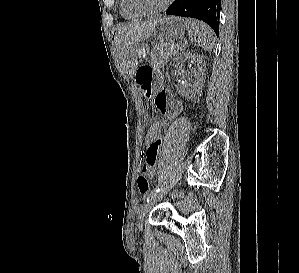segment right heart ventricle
I'll return each mask as SVG.
<instances>
[{
    "mask_svg": "<svg viewBox=\"0 0 299 273\" xmlns=\"http://www.w3.org/2000/svg\"><path fill=\"white\" fill-rule=\"evenodd\" d=\"M120 14L126 20H136L140 17L127 10L124 0H120Z\"/></svg>",
    "mask_w": 299,
    "mask_h": 273,
    "instance_id": "right-heart-ventricle-1",
    "label": "right heart ventricle"
}]
</instances>
